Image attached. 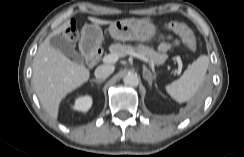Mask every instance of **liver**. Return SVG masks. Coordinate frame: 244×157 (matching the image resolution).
I'll return each mask as SVG.
<instances>
[{
    "label": "liver",
    "instance_id": "obj_1",
    "mask_svg": "<svg viewBox=\"0 0 244 157\" xmlns=\"http://www.w3.org/2000/svg\"><path fill=\"white\" fill-rule=\"evenodd\" d=\"M88 19L95 25L112 23L94 17ZM69 26L68 22L64 23L39 45L32 64L35 93L47 114L54 120L58 118L60 103L66 95L90 78V71L85 66L70 60L50 45V38L64 33Z\"/></svg>",
    "mask_w": 244,
    "mask_h": 157
}]
</instances>
